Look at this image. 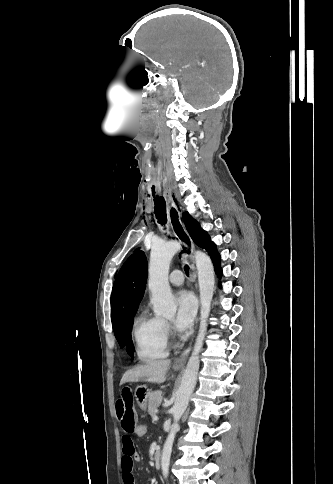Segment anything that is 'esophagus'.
<instances>
[{
  "mask_svg": "<svg viewBox=\"0 0 333 484\" xmlns=\"http://www.w3.org/2000/svg\"><path fill=\"white\" fill-rule=\"evenodd\" d=\"M168 215H169V221L171 224L172 231L175 235V237L182 243L184 246V253L182 256L184 258L189 259L192 262V268H193V278L196 279L197 273H196V268H195V261L193 257V242L183 224L182 221V210L178 208L176 205L174 199L172 196L168 197ZM191 351V343L189 346L182 352V354L174 360V366L176 367H181L184 366L189 353Z\"/></svg>",
  "mask_w": 333,
  "mask_h": 484,
  "instance_id": "1",
  "label": "esophagus"
}]
</instances>
